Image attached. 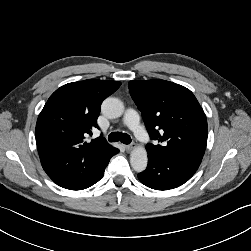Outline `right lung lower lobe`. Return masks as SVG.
I'll use <instances>...</instances> for the list:
<instances>
[{
	"label": "right lung lower lobe",
	"mask_w": 251,
	"mask_h": 251,
	"mask_svg": "<svg viewBox=\"0 0 251 251\" xmlns=\"http://www.w3.org/2000/svg\"><path fill=\"white\" fill-rule=\"evenodd\" d=\"M119 150L112 148L108 154L99 162H97L93 168L70 177H58L49 176L57 185L70 189V190H82L86 189L96 182H98L104 175V170L109 163L111 157L117 154Z\"/></svg>",
	"instance_id": "98d812e1"
}]
</instances>
